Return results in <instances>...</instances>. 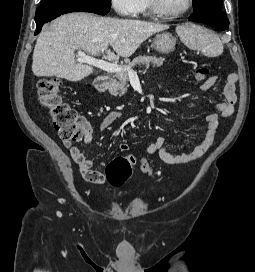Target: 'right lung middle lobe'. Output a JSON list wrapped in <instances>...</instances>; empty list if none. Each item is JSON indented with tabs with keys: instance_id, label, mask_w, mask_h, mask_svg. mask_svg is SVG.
Returning <instances> with one entry per match:
<instances>
[{
	"instance_id": "1",
	"label": "right lung middle lobe",
	"mask_w": 255,
	"mask_h": 272,
	"mask_svg": "<svg viewBox=\"0 0 255 272\" xmlns=\"http://www.w3.org/2000/svg\"><path fill=\"white\" fill-rule=\"evenodd\" d=\"M41 5L75 6L106 15L111 8V0H42Z\"/></svg>"
}]
</instances>
